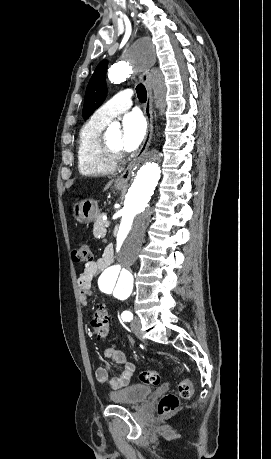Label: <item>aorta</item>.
<instances>
[{
  "label": "aorta",
  "instance_id": "762f6f07",
  "mask_svg": "<svg viewBox=\"0 0 271 459\" xmlns=\"http://www.w3.org/2000/svg\"><path fill=\"white\" fill-rule=\"evenodd\" d=\"M153 60V48L147 41L137 42L130 53L129 61L111 66L109 80L114 84L124 82L133 72L134 67H142ZM154 95L159 107L165 105V86L159 74L153 78ZM159 152L145 154L136 167L135 177L126 192L117 233L116 256L99 277L100 290L116 297L128 296L133 289L134 278L130 266L136 261L150 218V199L158 184L161 168L158 165Z\"/></svg>",
  "mask_w": 271,
  "mask_h": 459
}]
</instances>
